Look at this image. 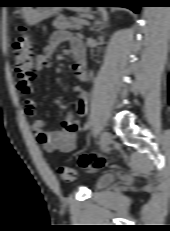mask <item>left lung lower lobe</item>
<instances>
[{
  "label": "left lung lower lobe",
  "mask_w": 170,
  "mask_h": 231,
  "mask_svg": "<svg viewBox=\"0 0 170 231\" xmlns=\"http://www.w3.org/2000/svg\"><path fill=\"white\" fill-rule=\"evenodd\" d=\"M114 3L123 4L122 7L129 8L137 13L139 7H142L143 0H104L103 6H112Z\"/></svg>",
  "instance_id": "1"
}]
</instances>
